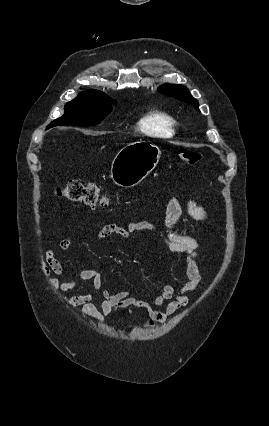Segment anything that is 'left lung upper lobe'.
<instances>
[{
	"instance_id": "5c2ea615",
	"label": "left lung upper lobe",
	"mask_w": 269,
	"mask_h": 426,
	"mask_svg": "<svg viewBox=\"0 0 269 426\" xmlns=\"http://www.w3.org/2000/svg\"><path fill=\"white\" fill-rule=\"evenodd\" d=\"M158 90L166 94L168 96H172L174 98H177L178 100L184 101L186 103H189L193 105L197 110L198 109V101L191 96L187 88L181 86V85H173V84H165L163 86H160Z\"/></svg>"
}]
</instances>
